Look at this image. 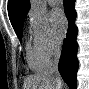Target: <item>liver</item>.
<instances>
[{
    "label": "liver",
    "mask_w": 89,
    "mask_h": 89,
    "mask_svg": "<svg viewBox=\"0 0 89 89\" xmlns=\"http://www.w3.org/2000/svg\"><path fill=\"white\" fill-rule=\"evenodd\" d=\"M61 87L59 78L49 73L35 74L25 80L24 89H57Z\"/></svg>",
    "instance_id": "6515ba94"
}]
</instances>
